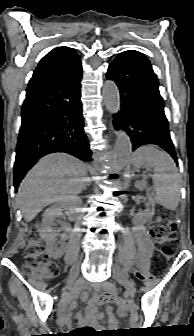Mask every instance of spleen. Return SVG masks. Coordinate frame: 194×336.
<instances>
[{
  "mask_svg": "<svg viewBox=\"0 0 194 336\" xmlns=\"http://www.w3.org/2000/svg\"><path fill=\"white\" fill-rule=\"evenodd\" d=\"M133 165H147L154 169L153 183L157 202L169 210H175L180 199L181 179L172 158L155 146H142L133 156Z\"/></svg>",
  "mask_w": 194,
  "mask_h": 336,
  "instance_id": "1",
  "label": "spleen"
}]
</instances>
